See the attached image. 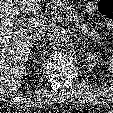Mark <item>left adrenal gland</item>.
<instances>
[{
  "instance_id": "left-adrenal-gland-1",
  "label": "left adrenal gland",
  "mask_w": 113,
  "mask_h": 113,
  "mask_svg": "<svg viewBox=\"0 0 113 113\" xmlns=\"http://www.w3.org/2000/svg\"><path fill=\"white\" fill-rule=\"evenodd\" d=\"M76 38H77V44L80 42V41H83V35H78L77 33L74 35ZM85 40H87L86 38H85Z\"/></svg>"
}]
</instances>
